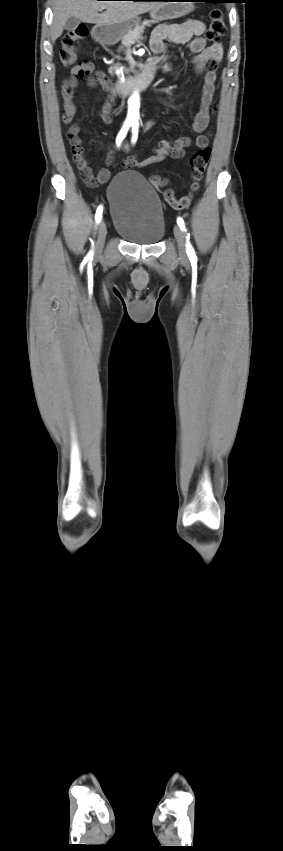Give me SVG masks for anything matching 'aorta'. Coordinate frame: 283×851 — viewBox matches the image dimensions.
<instances>
[{"mask_svg":"<svg viewBox=\"0 0 283 851\" xmlns=\"http://www.w3.org/2000/svg\"><path fill=\"white\" fill-rule=\"evenodd\" d=\"M128 103H129V111H128L127 120L130 121V122H136V121H138V117H139V94H138V92H135V93L132 94V96L129 98Z\"/></svg>","mask_w":283,"mask_h":851,"instance_id":"aorta-1","label":"aorta"}]
</instances>
